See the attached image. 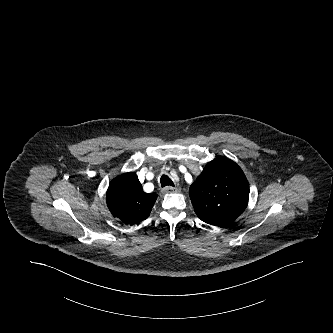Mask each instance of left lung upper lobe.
<instances>
[{
    "instance_id": "1",
    "label": "left lung upper lobe",
    "mask_w": 333,
    "mask_h": 333,
    "mask_svg": "<svg viewBox=\"0 0 333 333\" xmlns=\"http://www.w3.org/2000/svg\"><path fill=\"white\" fill-rule=\"evenodd\" d=\"M189 195L194 211L202 221L224 226L246 209L249 183L235 162L218 157L205 166L190 186Z\"/></svg>"
}]
</instances>
